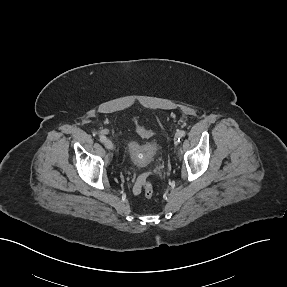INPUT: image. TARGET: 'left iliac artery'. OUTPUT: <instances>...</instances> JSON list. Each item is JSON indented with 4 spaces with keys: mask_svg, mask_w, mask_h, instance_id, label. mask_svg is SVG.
Masks as SVG:
<instances>
[{
    "mask_svg": "<svg viewBox=\"0 0 287 287\" xmlns=\"http://www.w3.org/2000/svg\"><path fill=\"white\" fill-rule=\"evenodd\" d=\"M176 134H177L178 141H180V139H182V137L185 136V131L184 130H180Z\"/></svg>",
    "mask_w": 287,
    "mask_h": 287,
    "instance_id": "44dca946",
    "label": "left iliac artery"
}]
</instances>
